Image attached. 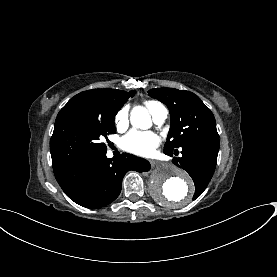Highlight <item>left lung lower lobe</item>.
I'll use <instances>...</instances> for the list:
<instances>
[{
    "instance_id": "obj_1",
    "label": "left lung lower lobe",
    "mask_w": 277,
    "mask_h": 277,
    "mask_svg": "<svg viewBox=\"0 0 277 277\" xmlns=\"http://www.w3.org/2000/svg\"><path fill=\"white\" fill-rule=\"evenodd\" d=\"M219 138L204 137L191 141L180 147V157H174L173 163L185 169L195 184V195L197 198L207 187L216 168L219 150ZM169 156L178 155V150L164 152Z\"/></svg>"
}]
</instances>
